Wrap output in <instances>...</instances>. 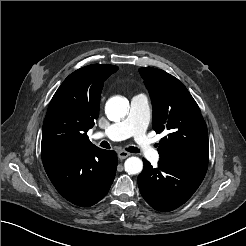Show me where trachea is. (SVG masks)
<instances>
[{
	"label": "trachea",
	"instance_id": "obj_1",
	"mask_svg": "<svg viewBox=\"0 0 246 246\" xmlns=\"http://www.w3.org/2000/svg\"><path fill=\"white\" fill-rule=\"evenodd\" d=\"M100 145L103 148L110 149V145L106 141L101 142ZM126 150L129 151V152H131V153H138L139 152V149L137 147H133V146L126 148Z\"/></svg>",
	"mask_w": 246,
	"mask_h": 246
}]
</instances>
